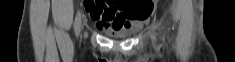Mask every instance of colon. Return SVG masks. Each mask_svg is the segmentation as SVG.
Listing matches in <instances>:
<instances>
[{
	"mask_svg": "<svg viewBox=\"0 0 235 62\" xmlns=\"http://www.w3.org/2000/svg\"><path fill=\"white\" fill-rule=\"evenodd\" d=\"M128 14L140 20L146 19L152 11L151 0H129L127 1Z\"/></svg>",
	"mask_w": 235,
	"mask_h": 62,
	"instance_id": "5ec220e1",
	"label": "colon"
}]
</instances>
